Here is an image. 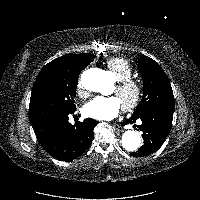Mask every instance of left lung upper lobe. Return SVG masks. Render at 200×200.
Masks as SVG:
<instances>
[{
    "label": "left lung upper lobe",
    "mask_w": 200,
    "mask_h": 200,
    "mask_svg": "<svg viewBox=\"0 0 200 200\" xmlns=\"http://www.w3.org/2000/svg\"><path fill=\"white\" fill-rule=\"evenodd\" d=\"M138 69L143 78V98L132 117L139 116L149 109L173 113V91L161 66L153 59L142 56L138 61Z\"/></svg>",
    "instance_id": "left-lung-upper-lobe-1"
}]
</instances>
